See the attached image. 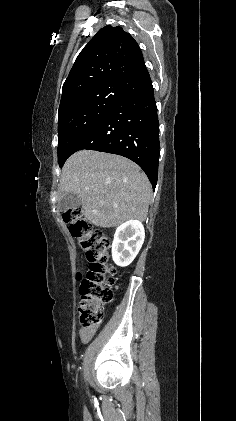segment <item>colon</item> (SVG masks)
Segmentation results:
<instances>
[{"instance_id": "colon-1", "label": "colon", "mask_w": 236, "mask_h": 421, "mask_svg": "<svg viewBox=\"0 0 236 421\" xmlns=\"http://www.w3.org/2000/svg\"><path fill=\"white\" fill-rule=\"evenodd\" d=\"M72 236L78 241L89 262L86 270L77 273L81 301L78 306V323L81 332L94 330L102 322L104 306L113 300L116 270L109 263V238L84 217L80 209L64 213Z\"/></svg>"}]
</instances>
